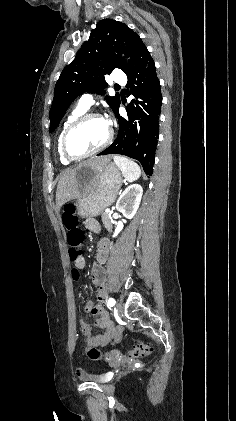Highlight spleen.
<instances>
[{
  "mask_svg": "<svg viewBox=\"0 0 236 421\" xmlns=\"http://www.w3.org/2000/svg\"><path fill=\"white\" fill-rule=\"evenodd\" d=\"M114 162L118 168L122 170V174L125 180L133 182L141 176V168L137 162H134L132 158H126V156H114Z\"/></svg>",
  "mask_w": 236,
  "mask_h": 421,
  "instance_id": "3e777b00",
  "label": "spleen"
}]
</instances>
